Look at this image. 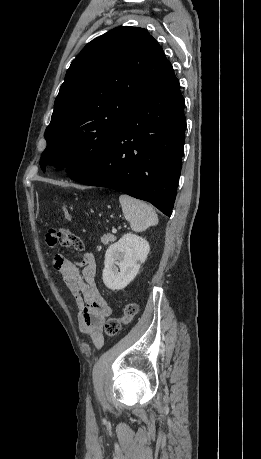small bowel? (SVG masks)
Masks as SVG:
<instances>
[{
  "label": "small bowel",
  "mask_w": 261,
  "mask_h": 459,
  "mask_svg": "<svg viewBox=\"0 0 261 459\" xmlns=\"http://www.w3.org/2000/svg\"><path fill=\"white\" fill-rule=\"evenodd\" d=\"M45 240L51 247L60 244L80 252L81 258L77 262L57 253L54 256L53 265L76 300L79 309L78 325L81 332L90 337L96 349H100L104 343L102 328L112 310L97 287L96 263L93 254L83 248L78 236L67 230H50Z\"/></svg>",
  "instance_id": "1"
}]
</instances>
